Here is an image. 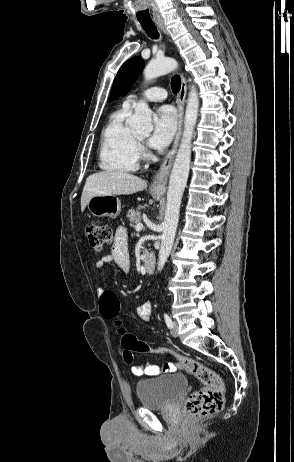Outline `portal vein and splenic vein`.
Wrapping results in <instances>:
<instances>
[{"label":"portal vein and splenic vein","instance_id":"obj_1","mask_svg":"<svg viewBox=\"0 0 294 462\" xmlns=\"http://www.w3.org/2000/svg\"><path fill=\"white\" fill-rule=\"evenodd\" d=\"M142 229H143V224H141V223L137 224L136 231L140 232Z\"/></svg>","mask_w":294,"mask_h":462}]
</instances>
